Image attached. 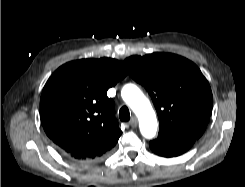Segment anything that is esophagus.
I'll list each match as a JSON object with an SVG mask.
<instances>
[{"instance_id":"1","label":"esophagus","mask_w":245,"mask_h":187,"mask_svg":"<svg viewBox=\"0 0 245 187\" xmlns=\"http://www.w3.org/2000/svg\"><path fill=\"white\" fill-rule=\"evenodd\" d=\"M129 125L132 127V128H135L137 127L138 125V120L136 117H132L131 120L129 121Z\"/></svg>"}]
</instances>
